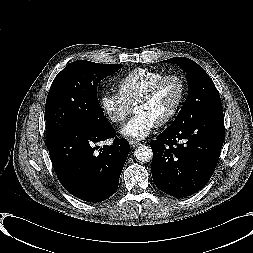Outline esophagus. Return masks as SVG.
Wrapping results in <instances>:
<instances>
[{
	"mask_svg": "<svg viewBox=\"0 0 253 253\" xmlns=\"http://www.w3.org/2000/svg\"><path fill=\"white\" fill-rule=\"evenodd\" d=\"M129 144H130L132 147H137V146L141 145L140 142L135 141V140H131V139L129 140Z\"/></svg>",
	"mask_w": 253,
	"mask_h": 253,
	"instance_id": "obj_1",
	"label": "esophagus"
}]
</instances>
